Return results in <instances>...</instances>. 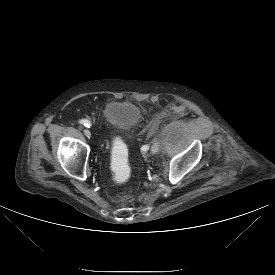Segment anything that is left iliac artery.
<instances>
[{
	"label": "left iliac artery",
	"mask_w": 275,
	"mask_h": 275,
	"mask_svg": "<svg viewBox=\"0 0 275 275\" xmlns=\"http://www.w3.org/2000/svg\"><path fill=\"white\" fill-rule=\"evenodd\" d=\"M147 148H148L147 146H144V147H143V150H144V151H146V150H147Z\"/></svg>",
	"instance_id": "obj_1"
}]
</instances>
